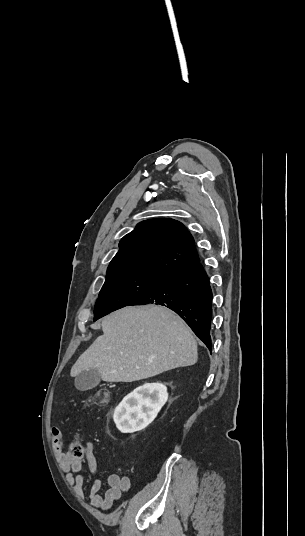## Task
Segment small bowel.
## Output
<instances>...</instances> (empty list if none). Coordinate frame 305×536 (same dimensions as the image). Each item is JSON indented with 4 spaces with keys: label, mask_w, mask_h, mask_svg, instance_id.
Returning a JSON list of instances; mask_svg holds the SVG:
<instances>
[{
    "label": "small bowel",
    "mask_w": 305,
    "mask_h": 536,
    "mask_svg": "<svg viewBox=\"0 0 305 536\" xmlns=\"http://www.w3.org/2000/svg\"><path fill=\"white\" fill-rule=\"evenodd\" d=\"M50 430L52 432V448L56 459L61 469L67 474L69 485L81 496L83 495L85 484V475L81 472L84 464H87L91 473L97 474L98 472L97 459L93 450L89 446L86 450L85 458L78 457L72 450L65 452L63 450V439H60L61 433L58 431V425H51ZM130 487L131 481L126 476L110 475L108 477V487L105 490H102L101 480L96 479L91 485L90 502L96 508L108 510Z\"/></svg>",
    "instance_id": "c3829d8e"
}]
</instances>
